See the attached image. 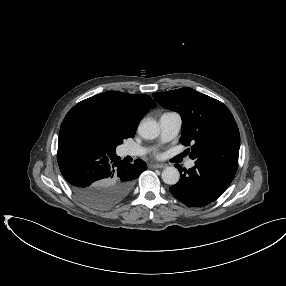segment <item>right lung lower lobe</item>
Wrapping results in <instances>:
<instances>
[{
  "mask_svg": "<svg viewBox=\"0 0 286 286\" xmlns=\"http://www.w3.org/2000/svg\"><path fill=\"white\" fill-rule=\"evenodd\" d=\"M58 165L76 196L94 208H109L130 192L133 181L146 170L143 160L123 163L74 126L62 122Z\"/></svg>",
  "mask_w": 286,
  "mask_h": 286,
  "instance_id": "98d812e1",
  "label": "right lung lower lobe"
}]
</instances>
